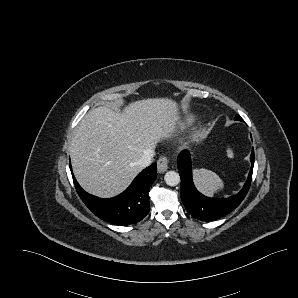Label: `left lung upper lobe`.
I'll list each match as a JSON object with an SVG mask.
<instances>
[{
	"instance_id": "obj_1",
	"label": "left lung upper lobe",
	"mask_w": 298,
	"mask_h": 298,
	"mask_svg": "<svg viewBox=\"0 0 298 298\" xmlns=\"http://www.w3.org/2000/svg\"><path fill=\"white\" fill-rule=\"evenodd\" d=\"M235 120L242 121L243 119L241 120V117H240L239 115H237V116L235 117Z\"/></svg>"
}]
</instances>
